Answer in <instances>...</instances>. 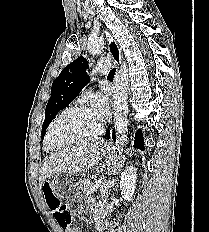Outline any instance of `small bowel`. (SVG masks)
<instances>
[{"instance_id": "c3829d8e", "label": "small bowel", "mask_w": 209, "mask_h": 232, "mask_svg": "<svg viewBox=\"0 0 209 232\" xmlns=\"http://www.w3.org/2000/svg\"><path fill=\"white\" fill-rule=\"evenodd\" d=\"M89 209L91 211V214H92V217L94 218V220L98 223H101L102 216H101L100 212L98 211V209L95 206H90ZM63 229H64V232H81V230L79 228H76V227H66Z\"/></svg>"}]
</instances>
